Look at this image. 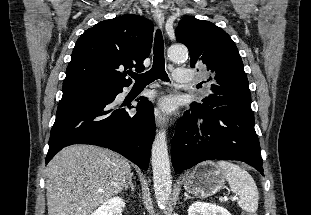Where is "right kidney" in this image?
Here are the masks:
<instances>
[{"mask_svg":"<svg viewBox=\"0 0 311 215\" xmlns=\"http://www.w3.org/2000/svg\"><path fill=\"white\" fill-rule=\"evenodd\" d=\"M123 208H125L124 200L120 197H113L104 202L91 215H119Z\"/></svg>","mask_w":311,"mask_h":215,"instance_id":"right-kidney-1","label":"right kidney"}]
</instances>
